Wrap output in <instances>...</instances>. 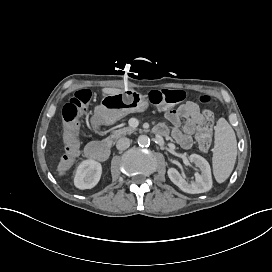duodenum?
Returning a JSON list of instances; mask_svg holds the SVG:
<instances>
[{"label":"duodenum","mask_w":272,"mask_h":272,"mask_svg":"<svg viewBox=\"0 0 272 272\" xmlns=\"http://www.w3.org/2000/svg\"><path fill=\"white\" fill-rule=\"evenodd\" d=\"M109 121V115L104 108L96 111L92 119L94 129H99ZM111 147L107 143L91 142L86 146L85 154L89 159L96 161H105L110 156Z\"/></svg>","instance_id":"obj_1"}]
</instances>
